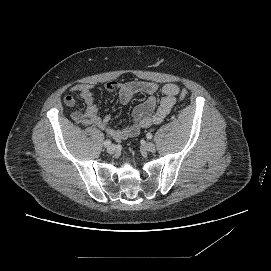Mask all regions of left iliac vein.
Here are the masks:
<instances>
[{
  "label": "left iliac vein",
  "instance_id": "obj_1",
  "mask_svg": "<svg viewBox=\"0 0 271 271\" xmlns=\"http://www.w3.org/2000/svg\"><path fill=\"white\" fill-rule=\"evenodd\" d=\"M144 149L149 151V152H153L156 149V146L152 142H147V143L144 144Z\"/></svg>",
  "mask_w": 271,
  "mask_h": 271
}]
</instances>
